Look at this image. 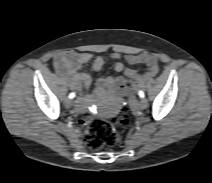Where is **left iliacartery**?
<instances>
[{
    "instance_id": "obj_1",
    "label": "left iliac artery",
    "mask_w": 212,
    "mask_h": 183,
    "mask_svg": "<svg viewBox=\"0 0 212 183\" xmlns=\"http://www.w3.org/2000/svg\"><path fill=\"white\" fill-rule=\"evenodd\" d=\"M139 96H140L141 98H143V97L145 96L144 92L140 90V91H139Z\"/></svg>"
}]
</instances>
